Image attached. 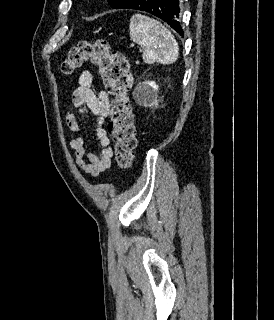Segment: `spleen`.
<instances>
[{
	"instance_id": "1",
	"label": "spleen",
	"mask_w": 274,
	"mask_h": 320,
	"mask_svg": "<svg viewBox=\"0 0 274 320\" xmlns=\"http://www.w3.org/2000/svg\"><path fill=\"white\" fill-rule=\"evenodd\" d=\"M129 30L132 42L143 48L142 58L145 64L176 62L179 54L178 44L163 24L148 16L135 14L130 20Z\"/></svg>"
}]
</instances>
